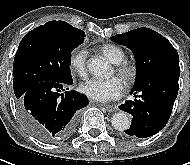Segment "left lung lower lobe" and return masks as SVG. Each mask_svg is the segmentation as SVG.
<instances>
[{
  "mask_svg": "<svg viewBox=\"0 0 190 165\" xmlns=\"http://www.w3.org/2000/svg\"><path fill=\"white\" fill-rule=\"evenodd\" d=\"M179 76L180 72L164 71L134 86L132 93L137 99L119 106L133 116L125 133L146 138L158 133L167 124L178 94Z\"/></svg>",
  "mask_w": 190,
  "mask_h": 165,
  "instance_id": "left-lung-lower-lobe-1",
  "label": "left lung lower lobe"
}]
</instances>
